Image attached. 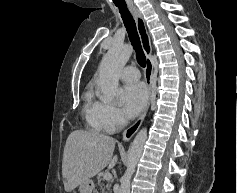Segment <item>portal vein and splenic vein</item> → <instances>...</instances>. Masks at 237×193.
I'll return each instance as SVG.
<instances>
[{
    "label": "portal vein and splenic vein",
    "mask_w": 237,
    "mask_h": 193,
    "mask_svg": "<svg viewBox=\"0 0 237 193\" xmlns=\"http://www.w3.org/2000/svg\"><path fill=\"white\" fill-rule=\"evenodd\" d=\"M103 178L106 181H110L112 179V174L111 173H106Z\"/></svg>",
    "instance_id": "18ae733b"
}]
</instances>
